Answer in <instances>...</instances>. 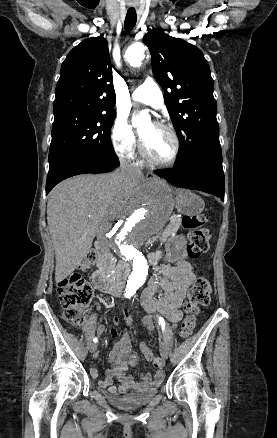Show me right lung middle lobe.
I'll return each mask as SVG.
<instances>
[{
  "label": "right lung middle lobe",
  "instance_id": "dd1d6c3e",
  "mask_svg": "<svg viewBox=\"0 0 277 438\" xmlns=\"http://www.w3.org/2000/svg\"><path fill=\"white\" fill-rule=\"evenodd\" d=\"M115 116L74 114L54 117L49 171L73 160L95 156L117 157L110 137Z\"/></svg>",
  "mask_w": 277,
  "mask_h": 438
}]
</instances>
